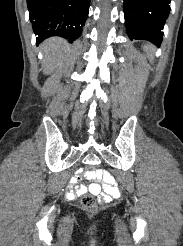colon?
Returning a JSON list of instances; mask_svg holds the SVG:
<instances>
[{"label": "colon", "instance_id": "1", "mask_svg": "<svg viewBox=\"0 0 183 246\" xmlns=\"http://www.w3.org/2000/svg\"><path fill=\"white\" fill-rule=\"evenodd\" d=\"M91 170H94L93 164H86L85 172H91ZM81 205L85 210L93 211L97 206V202L92 195H84L81 199Z\"/></svg>", "mask_w": 183, "mask_h": 246}]
</instances>
